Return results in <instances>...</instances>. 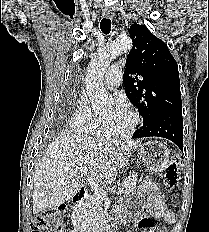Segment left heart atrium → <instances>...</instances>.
<instances>
[{"mask_svg":"<svg viewBox=\"0 0 209 232\" xmlns=\"http://www.w3.org/2000/svg\"><path fill=\"white\" fill-rule=\"evenodd\" d=\"M122 110H124V109H123V104L120 102V103H119V106L117 107V110H116V111H122Z\"/></svg>","mask_w":209,"mask_h":232,"instance_id":"1","label":"left heart atrium"}]
</instances>
